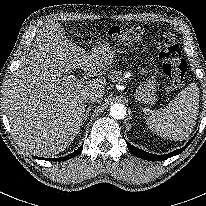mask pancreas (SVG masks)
Here are the masks:
<instances>
[{
    "label": "pancreas",
    "instance_id": "1",
    "mask_svg": "<svg viewBox=\"0 0 206 206\" xmlns=\"http://www.w3.org/2000/svg\"><path fill=\"white\" fill-rule=\"evenodd\" d=\"M108 76L112 81H117V82H122L123 81L121 71H111Z\"/></svg>",
    "mask_w": 206,
    "mask_h": 206
}]
</instances>
